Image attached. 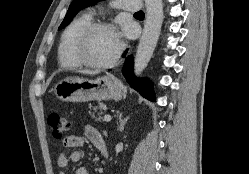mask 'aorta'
Returning <instances> with one entry per match:
<instances>
[{"mask_svg":"<svg viewBox=\"0 0 249 174\" xmlns=\"http://www.w3.org/2000/svg\"><path fill=\"white\" fill-rule=\"evenodd\" d=\"M146 20L134 60V73L139 76L147 67L157 45L163 22L162 0H145Z\"/></svg>","mask_w":249,"mask_h":174,"instance_id":"obj_1","label":"aorta"}]
</instances>
